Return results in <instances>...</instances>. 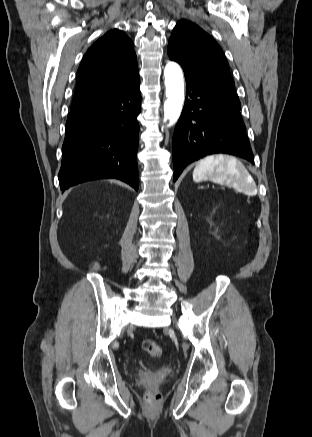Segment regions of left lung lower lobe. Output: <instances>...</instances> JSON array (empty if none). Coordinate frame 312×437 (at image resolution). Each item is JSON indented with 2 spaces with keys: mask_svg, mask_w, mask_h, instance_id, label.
Masks as SVG:
<instances>
[{
  "mask_svg": "<svg viewBox=\"0 0 312 437\" xmlns=\"http://www.w3.org/2000/svg\"><path fill=\"white\" fill-rule=\"evenodd\" d=\"M185 79V105L172 142L174 181L187 164L215 153L239 156L254 164L241 106L187 75Z\"/></svg>",
  "mask_w": 312,
  "mask_h": 437,
  "instance_id": "obj_1",
  "label": "left lung lower lobe"
}]
</instances>
